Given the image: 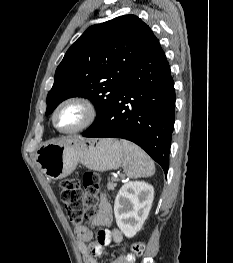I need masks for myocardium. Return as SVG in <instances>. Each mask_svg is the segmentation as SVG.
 <instances>
[{
  "mask_svg": "<svg viewBox=\"0 0 233 263\" xmlns=\"http://www.w3.org/2000/svg\"><path fill=\"white\" fill-rule=\"evenodd\" d=\"M69 104H77L81 106L85 110L86 116L84 121L76 128L71 130H63L59 128L56 118L60 109ZM96 118H97V108L90 99L83 96H72L64 99L57 105L52 115V123L59 132L64 134H74L91 126L95 122Z\"/></svg>",
  "mask_w": 233,
  "mask_h": 263,
  "instance_id": "obj_1",
  "label": "myocardium"
}]
</instances>
